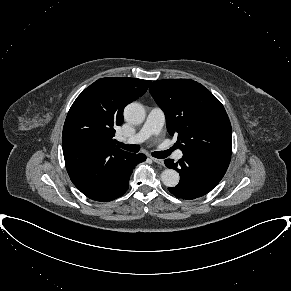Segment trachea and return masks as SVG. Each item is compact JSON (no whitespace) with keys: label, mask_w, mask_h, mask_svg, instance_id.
<instances>
[{"label":"trachea","mask_w":291,"mask_h":291,"mask_svg":"<svg viewBox=\"0 0 291 291\" xmlns=\"http://www.w3.org/2000/svg\"><path fill=\"white\" fill-rule=\"evenodd\" d=\"M117 145L120 148H123L124 150L134 152V153H136L140 150L138 145H125L121 142H118ZM171 151H172V149L165 150V151H156V152H153L152 155L158 159H164L170 155Z\"/></svg>","instance_id":"3493384b"}]
</instances>
